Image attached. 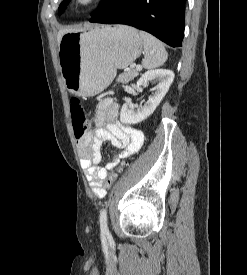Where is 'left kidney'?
I'll return each instance as SVG.
<instances>
[{
    "label": "left kidney",
    "instance_id": "obj_1",
    "mask_svg": "<svg viewBox=\"0 0 247 275\" xmlns=\"http://www.w3.org/2000/svg\"><path fill=\"white\" fill-rule=\"evenodd\" d=\"M173 79L174 73L168 69H154L144 73L137 81V87H144L149 82H154L157 83V86L152 88V91L155 92L143 106L135 108L131 102L125 103L120 112L121 123L137 124L149 117L168 92Z\"/></svg>",
    "mask_w": 247,
    "mask_h": 275
}]
</instances>
